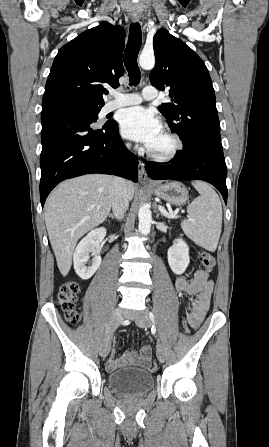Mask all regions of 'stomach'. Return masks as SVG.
<instances>
[{
  "label": "stomach",
  "mask_w": 269,
  "mask_h": 447,
  "mask_svg": "<svg viewBox=\"0 0 269 447\" xmlns=\"http://www.w3.org/2000/svg\"><path fill=\"white\" fill-rule=\"evenodd\" d=\"M155 196L162 198L169 204L183 206L188 202V190L180 182H168V184H154L149 186Z\"/></svg>",
  "instance_id": "obj_1"
}]
</instances>
